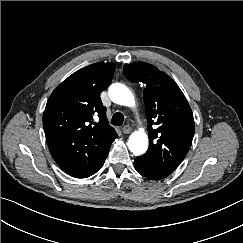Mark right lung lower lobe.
Returning <instances> with one entry per match:
<instances>
[{"mask_svg": "<svg viewBox=\"0 0 243 243\" xmlns=\"http://www.w3.org/2000/svg\"><path fill=\"white\" fill-rule=\"evenodd\" d=\"M106 158H107V156L101 161V163L98 165V167H96V169L93 172H91L89 175H87L86 177H90L91 175L95 174L98 170H100V168L103 166ZM86 177H83V178H86Z\"/></svg>", "mask_w": 243, "mask_h": 243, "instance_id": "98d812e1", "label": "right lung lower lobe"}]
</instances>
